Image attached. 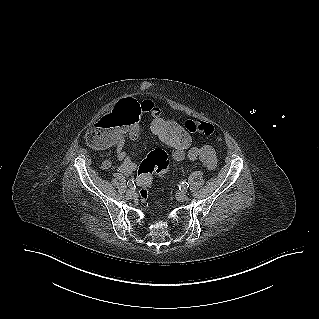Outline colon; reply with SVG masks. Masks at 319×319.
I'll list each match as a JSON object with an SVG mask.
<instances>
[{"label": "colon", "mask_w": 319, "mask_h": 319, "mask_svg": "<svg viewBox=\"0 0 319 319\" xmlns=\"http://www.w3.org/2000/svg\"><path fill=\"white\" fill-rule=\"evenodd\" d=\"M148 129L151 136L158 139L162 144L179 150H186L192 146L194 135L189 133L205 138L212 137L217 141L220 140L222 134V131L212 126L210 122L191 116L184 118L180 125L167 116L159 115L151 119ZM169 166V155L162 149L151 151L140 163L136 183L140 187L139 193L142 200H146L148 197L152 175L166 174Z\"/></svg>", "instance_id": "colon-1"}]
</instances>
